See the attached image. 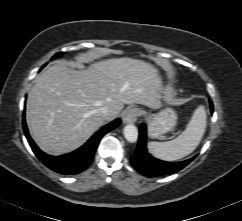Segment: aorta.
<instances>
[{
	"label": "aorta",
	"instance_id": "762f6f07",
	"mask_svg": "<svg viewBox=\"0 0 242 221\" xmlns=\"http://www.w3.org/2000/svg\"><path fill=\"white\" fill-rule=\"evenodd\" d=\"M124 137L127 141L134 143L138 139V129L133 124H128L123 129Z\"/></svg>",
	"mask_w": 242,
	"mask_h": 221
}]
</instances>
